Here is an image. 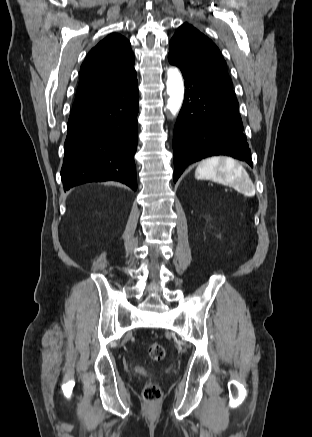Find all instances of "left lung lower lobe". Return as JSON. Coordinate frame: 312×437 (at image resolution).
<instances>
[{"label":"left lung lower lobe","instance_id":"0a47b994","mask_svg":"<svg viewBox=\"0 0 312 437\" xmlns=\"http://www.w3.org/2000/svg\"><path fill=\"white\" fill-rule=\"evenodd\" d=\"M185 98L173 134L174 182L191 163L227 155L253 166L238 101L211 83L182 69Z\"/></svg>","mask_w":312,"mask_h":437}]
</instances>
